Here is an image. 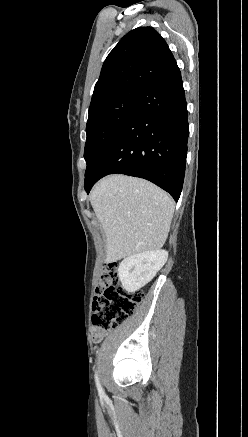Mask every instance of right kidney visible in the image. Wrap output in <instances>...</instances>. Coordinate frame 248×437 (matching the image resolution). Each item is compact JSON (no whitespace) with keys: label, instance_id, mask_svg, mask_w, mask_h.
<instances>
[{"label":"right kidney","instance_id":"ca27d5eb","mask_svg":"<svg viewBox=\"0 0 248 437\" xmlns=\"http://www.w3.org/2000/svg\"><path fill=\"white\" fill-rule=\"evenodd\" d=\"M167 259L168 252L160 249L125 258L118 268L123 288L128 292L139 290L155 277Z\"/></svg>","mask_w":248,"mask_h":437}]
</instances>
